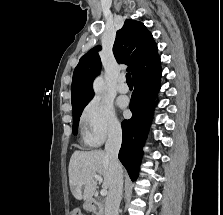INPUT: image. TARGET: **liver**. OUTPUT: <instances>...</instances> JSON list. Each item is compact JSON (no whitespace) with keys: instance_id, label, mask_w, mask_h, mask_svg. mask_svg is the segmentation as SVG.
Here are the masks:
<instances>
[{"instance_id":"liver-1","label":"liver","mask_w":223,"mask_h":215,"mask_svg":"<svg viewBox=\"0 0 223 215\" xmlns=\"http://www.w3.org/2000/svg\"><path fill=\"white\" fill-rule=\"evenodd\" d=\"M110 159L106 151H74L69 161V185L76 199H91L97 187V181L91 175H103V187H110L112 181L109 169ZM84 187V189H83ZM83 189V191H82Z\"/></svg>"}]
</instances>
